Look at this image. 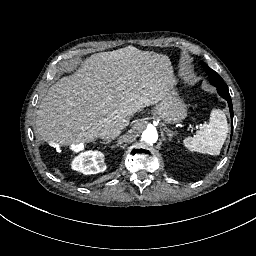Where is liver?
<instances>
[{"label":"liver","instance_id":"6515ba94","mask_svg":"<svg viewBox=\"0 0 256 256\" xmlns=\"http://www.w3.org/2000/svg\"><path fill=\"white\" fill-rule=\"evenodd\" d=\"M175 84L166 55L134 46L93 54L49 88L36 112L37 131L48 143L94 142L104 131L126 128Z\"/></svg>","mask_w":256,"mask_h":256}]
</instances>
